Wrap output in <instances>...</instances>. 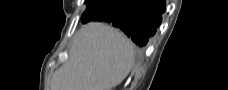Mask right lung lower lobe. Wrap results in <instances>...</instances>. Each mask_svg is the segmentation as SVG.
Masks as SVG:
<instances>
[{
    "mask_svg": "<svg viewBox=\"0 0 228 90\" xmlns=\"http://www.w3.org/2000/svg\"><path fill=\"white\" fill-rule=\"evenodd\" d=\"M165 10V0H99L87 5L81 21L111 24L143 49L160 26Z\"/></svg>",
    "mask_w": 228,
    "mask_h": 90,
    "instance_id": "right-lung-lower-lobe-1",
    "label": "right lung lower lobe"
}]
</instances>
